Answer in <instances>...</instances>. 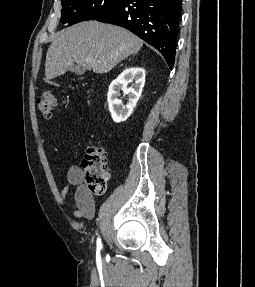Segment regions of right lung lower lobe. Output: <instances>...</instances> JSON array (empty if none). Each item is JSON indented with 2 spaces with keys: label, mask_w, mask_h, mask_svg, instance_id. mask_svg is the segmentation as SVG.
Instances as JSON below:
<instances>
[{
  "label": "right lung lower lobe",
  "mask_w": 255,
  "mask_h": 287,
  "mask_svg": "<svg viewBox=\"0 0 255 287\" xmlns=\"http://www.w3.org/2000/svg\"><path fill=\"white\" fill-rule=\"evenodd\" d=\"M182 0H124L95 20L128 29L155 47L173 68Z\"/></svg>",
  "instance_id": "right-lung-lower-lobe-1"
}]
</instances>
